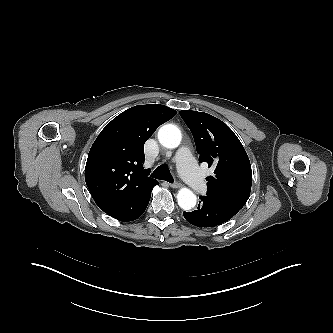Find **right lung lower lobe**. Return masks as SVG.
I'll return each mask as SVG.
<instances>
[{"label": "right lung lower lobe", "mask_w": 333, "mask_h": 333, "mask_svg": "<svg viewBox=\"0 0 333 333\" xmlns=\"http://www.w3.org/2000/svg\"><path fill=\"white\" fill-rule=\"evenodd\" d=\"M152 187L135 195L127 207L122 211L110 213L108 215L123 222H129L139 218L144 213L149 203Z\"/></svg>", "instance_id": "1"}]
</instances>
